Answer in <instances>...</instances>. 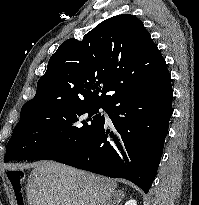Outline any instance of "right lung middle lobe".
I'll list each match as a JSON object with an SVG mask.
<instances>
[{
	"label": "right lung middle lobe",
	"instance_id": "obj_1",
	"mask_svg": "<svg viewBox=\"0 0 199 205\" xmlns=\"http://www.w3.org/2000/svg\"><path fill=\"white\" fill-rule=\"evenodd\" d=\"M100 108L107 112L105 107L67 102L22 107L4 161L55 160L77 151L104 125Z\"/></svg>",
	"mask_w": 199,
	"mask_h": 205
}]
</instances>
